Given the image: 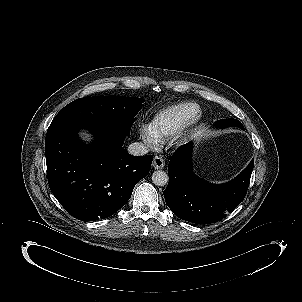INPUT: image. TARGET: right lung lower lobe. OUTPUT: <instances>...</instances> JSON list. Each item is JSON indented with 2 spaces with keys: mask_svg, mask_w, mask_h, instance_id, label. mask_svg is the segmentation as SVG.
I'll return each mask as SVG.
<instances>
[{
  "mask_svg": "<svg viewBox=\"0 0 302 302\" xmlns=\"http://www.w3.org/2000/svg\"><path fill=\"white\" fill-rule=\"evenodd\" d=\"M81 127L94 134L92 145L77 138ZM126 136L102 123L71 122L48 128V183L73 217L85 222L110 217L126 204L136 183L148 175L153 157L128 154L122 148Z\"/></svg>",
  "mask_w": 302,
  "mask_h": 302,
  "instance_id": "right-lung-lower-lobe-1",
  "label": "right lung lower lobe"
}]
</instances>
